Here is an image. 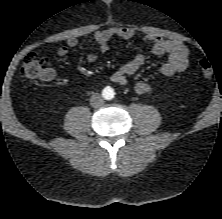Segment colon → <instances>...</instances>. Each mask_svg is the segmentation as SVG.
<instances>
[{"mask_svg":"<svg viewBox=\"0 0 222 219\" xmlns=\"http://www.w3.org/2000/svg\"><path fill=\"white\" fill-rule=\"evenodd\" d=\"M200 72L202 76L209 78L213 74L212 65L208 61L200 62ZM21 75L29 81L46 80L51 75V67L45 58L31 53L25 57L21 65Z\"/></svg>","mask_w":222,"mask_h":219,"instance_id":"colon-1","label":"colon"}]
</instances>
